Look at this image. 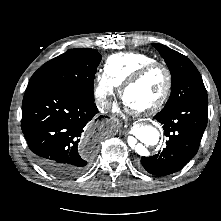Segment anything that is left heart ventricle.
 I'll return each instance as SVG.
<instances>
[{"label": "left heart ventricle", "mask_w": 221, "mask_h": 221, "mask_svg": "<svg viewBox=\"0 0 221 221\" xmlns=\"http://www.w3.org/2000/svg\"><path fill=\"white\" fill-rule=\"evenodd\" d=\"M165 85L166 78L164 72L156 69L127 89L125 102L132 109L147 108L161 97Z\"/></svg>", "instance_id": "obj_1"}]
</instances>
